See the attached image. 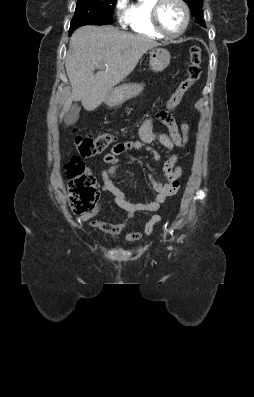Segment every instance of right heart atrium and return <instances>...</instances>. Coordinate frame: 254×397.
Wrapping results in <instances>:
<instances>
[{
  "label": "right heart atrium",
  "mask_w": 254,
  "mask_h": 397,
  "mask_svg": "<svg viewBox=\"0 0 254 397\" xmlns=\"http://www.w3.org/2000/svg\"><path fill=\"white\" fill-rule=\"evenodd\" d=\"M115 9L119 23L121 25H126L128 23V17H129L128 0H117Z\"/></svg>",
  "instance_id": "1"
}]
</instances>
